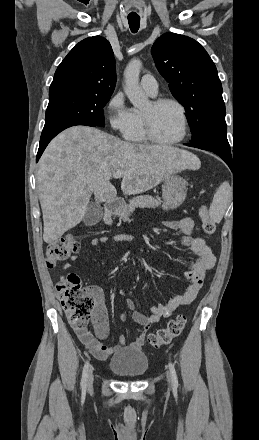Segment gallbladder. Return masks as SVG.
I'll return each instance as SVG.
<instances>
[{"label": "gallbladder", "mask_w": 259, "mask_h": 440, "mask_svg": "<svg viewBox=\"0 0 259 440\" xmlns=\"http://www.w3.org/2000/svg\"><path fill=\"white\" fill-rule=\"evenodd\" d=\"M103 217V209L97 202L89 204L83 222L86 226H94L100 222Z\"/></svg>", "instance_id": "obj_1"}]
</instances>
